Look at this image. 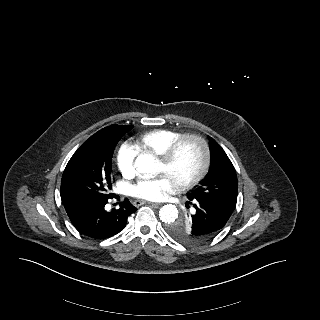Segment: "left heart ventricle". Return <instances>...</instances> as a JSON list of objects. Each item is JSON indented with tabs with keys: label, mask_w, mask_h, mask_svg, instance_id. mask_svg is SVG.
Here are the masks:
<instances>
[{
	"label": "left heart ventricle",
	"mask_w": 320,
	"mask_h": 320,
	"mask_svg": "<svg viewBox=\"0 0 320 320\" xmlns=\"http://www.w3.org/2000/svg\"><path fill=\"white\" fill-rule=\"evenodd\" d=\"M201 164V151L195 141H186L174 162L166 166L160 162L159 171L170 178L174 185L193 176Z\"/></svg>",
	"instance_id": "1"
}]
</instances>
